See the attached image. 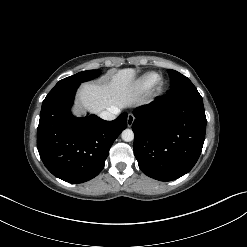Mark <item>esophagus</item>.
Wrapping results in <instances>:
<instances>
[{"label": "esophagus", "instance_id": "34e87169", "mask_svg": "<svg viewBox=\"0 0 247 247\" xmlns=\"http://www.w3.org/2000/svg\"><path fill=\"white\" fill-rule=\"evenodd\" d=\"M134 120H135L134 115L133 114H128V116H127V125H128V127L132 126Z\"/></svg>", "mask_w": 247, "mask_h": 247}]
</instances>
